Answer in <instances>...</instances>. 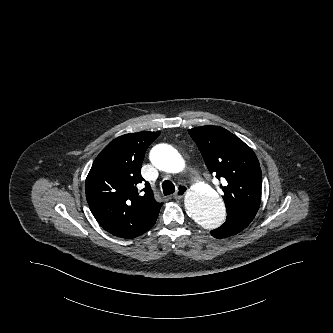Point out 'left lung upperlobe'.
I'll return each instance as SVG.
<instances>
[{
  "label": "left lung upper lobe",
  "mask_w": 333,
  "mask_h": 333,
  "mask_svg": "<svg viewBox=\"0 0 333 333\" xmlns=\"http://www.w3.org/2000/svg\"><path fill=\"white\" fill-rule=\"evenodd\" d=\"M197 144L208 170L224 178L227 218L250 223L261 201L262 173L259 161L242 140L224 128L202 126L189 130Z\"/></svg>",
  "instance_id": "obj_1"
}]
</instances>
